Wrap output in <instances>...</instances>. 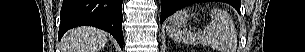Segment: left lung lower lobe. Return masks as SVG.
Masks as SVG:
<instances>
[{"mask_svg":"<svg viewBox=\"0 0 305 52\" xmlns=\"http://www.w3.org/2000/svg\"><path fill=\"white\" fill-rule=\"evenodd\" d=\"M207 1L212 0H162L160 23L162 24L167 17L184 6ZM233 7H235L237 11H240V2L238 1L236 5H233Z\"/></svg>","mask_w":305,"mask_h":52,"instance_id":"0a47b994","label":"left lung lower lobe"}]
</instances>
